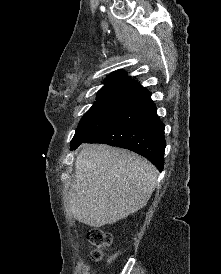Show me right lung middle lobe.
Instances as JSON below:
<instances>
[{
    "instance_id": "obj_1",
    "label": "right lung middle lobe",
    "mask_w": 221,
    "mask_h": 274,
    "mask_svg": "<svg viewBox=\"0 0 221 274\" xmlns=\"http://www.w3.org/2000/svg\"><path fill=\"white\" fill-rule=\"evenodd\" d=\"M132 102L123 99H97L79 122L71 142V149L101 131Z\"/></svg>"
}]
</instances>
